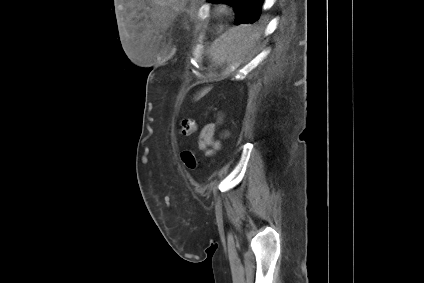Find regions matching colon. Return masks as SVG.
Masks as SVG:
<instances>
[{
  "mask_svg": "<svg viewBox=\"0 0 424 283\" xmlns=\"http://www.w3.org/2000/svg\"><path fill=\"white\" fill-rule=\"evenodd\" d=\"M198 129L197 122L192 118H185L180 122V133L184 136H190L196 133ZM183 164L189 169L197 168V160L192 151H183L181 153Z\"/></svg>",
  "mask_w": 424,
  "mask_h": 283,
  "instance_id": "5ec220e1",
  "label": "colon"
}]
</instances>
